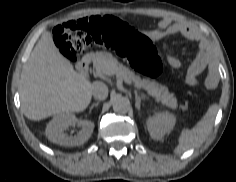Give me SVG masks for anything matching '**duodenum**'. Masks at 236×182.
<instances>
[{
    "label": "duodenum",
    "mask_w": 236,
    "mask_h": 182,
    "mask_svg": "<svg viewBox=\"0 0 236 182\" xmlns=\"http://www.w3.org/2000/svg\"><path fill=\"white\" fill-rule=\"evenodd\" d=\"M91 63V56H85L77 66L78 72L82 75H87L89 72V65Z\"/></svg>",
    "instance_id": "410a0bca"
}]
</instances>
